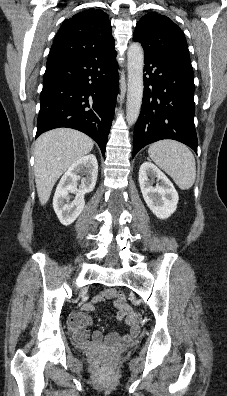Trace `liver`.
I'll use <instances>...</instances> for the list:
<instances>
[{"label": "liver", "instance_id": "6515ba94", "mask_svg": "<svg viewBox=\"0 0 227 396\" xmlns=\"http://www.w3.org/2000/svg\"><path fill=\"white\" fill-rule=\"evenodd\" d=\"M87 135L69 128H57L42 134L35 142L34 174L41 205H45L60 176L93 149Z\"/></svg>", "mask_w": 227, "mask_h": 396}]
</instances>
